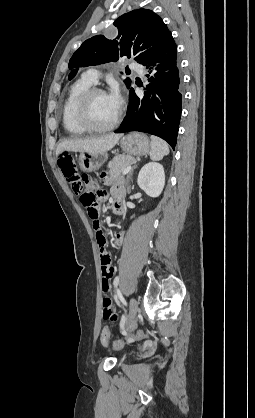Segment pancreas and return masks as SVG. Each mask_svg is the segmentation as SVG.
<instances>
[{
	"label": "pancreas",
	"instance_id": "cf45deb5",
	"mask_svg": "<svg viewBox=\"0 0 255 418\" xmlns=\"http://www.w3.org/2000/svg\"><path fill=\"white\" fill-rule=\"evenodd\" d=\"M134 163H136V159L130 155H117L108 164V174L114 180H117L121 176V173L124 171V169Z\"/></svg>",
	"mask_w": 255,
	"mask_h": 418
}]
</instances>
